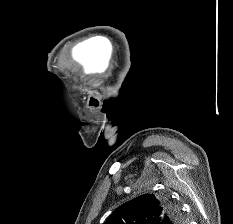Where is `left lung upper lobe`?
Listing matches in <instances>:
<instances>
[{
    "label": "left lung upper lobe",
    "instance_id": "left-lung-upper-lobe-1",
    "mask_svg": "<svg viewBox=\"0 0 233 224\" xmlns=\"http://www.w3.org/2000/svg\"><path fill=\"white\" fill-rule=\"evenodd\" d=\"M180 210L166 196L144 194L118 207L104 224H180Z\"/></svg>",
    "mask_w": 233,
    "mask_h": 224
}]
</instances>
